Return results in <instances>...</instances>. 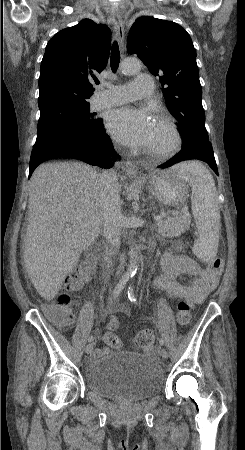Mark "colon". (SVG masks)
I'll return each instance as SVG.
<instances>
[{"mask_svg": "<svg viewBox=\"0 0 245 450\" xmlns=\"http://www.w3.org/2000/svg\"><path fill=\"white\" fill-rule=\"evenodd\" d=\"M94 260L91 257H85L75 267L73 272L69 274L63 281V292L59 293L55 300L47 305L48 318L59 327H70L73 324V317L68 309L71 299L68 292H73L78 288V281L90 276ZM210 271L219 274L223 268V260L221 258H214L210 262ZM177 321L181 325H186L191 319V311L189 304L181 300L177 304ZM118 322L115 319L108 321V326L112 330L117 326ZM154 339V334L150 329H144L137 333L135 337V344L139 347H147L151 345ZM104 341L114 347L121 346L120 338L113 332L109 331L104 335Z\"/></svg>", "mask_w": 245, "mask_h": 450, "instance_id": "5ec220e1", "label": "colon"}]
</instances>
